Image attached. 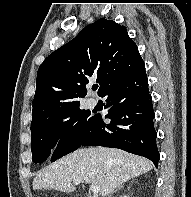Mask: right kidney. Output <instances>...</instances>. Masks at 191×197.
I'll return each instance as SVG.
<instances>
[{
    "instance_id": "1",
    "label": "right kidney",
    "mask_w": 191,
    "mask_h": 197,
    "mask_svg": "<svg viewBox=\"0 0 191 197\" xmlns=\"http://www.w3.org/2000/svg\"><path fill=\"white\" fill-rule=\"evenodd\" d=\"M120 197H128V196H126V195H123V196H120Z\"/></svg>"
}]
</instances>
